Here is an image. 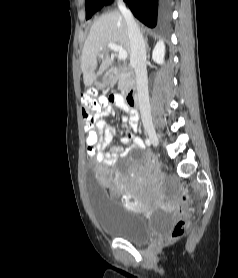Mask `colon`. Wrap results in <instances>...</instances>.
Here are the masks:
<instances>
[{
  "label": "colon",
  "instance_id": "1",
  "mask_svg": "<svg viewBox=\"0 0 238 278\" xmlns=\"http://www.w3.org/2000/svg\"><path fill=\"white\" fill-rule=\"evenodd\" d=\"M108 100L103 95H99L95 90L86 91L81 97L82 115L86 125V140L82 141L84 148L85 159H96L99 156V149L101 148L100 139L103 138V129L96 126L94 129V122L96 118L106 109L108 106ZM176 187L180 191L181 199L178 204V217L169 231L168 237L172 240L181 238L188 229L189 221L187 217V204L190 200L189 187L182 183V178H177Z\"/></svg>",
  "mask_w": 238,
  "mask_h": 278
}]
</instances>
